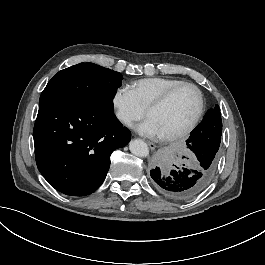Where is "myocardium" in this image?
<instances>
[{"instance_id": "f54148a6", "label": "myocardium", "mask_w": 265, "mask_h": 265, "mask_svg": "<svg viewBox=\"0 0 265 265\" xmlns=\"http://www.w3.org/2000/svg\"><path fill=\"white\" fill-rule=\"evenodd\" d=\"M186 88L193 89L197 95L198 98L197 112L194 118L192 119V121L183 130L171 135L164 136L163 139L166 141H175L185 138L197 127V125L199 124L200 120L203 117L205 110V100L202 90L193 83L185 82L169 90L166 94H164L160 99H158L147 109L146 115L148 116L150 112L159 110L164 106H166L179 92H181Z\"/></svg>"}]
</instances>
